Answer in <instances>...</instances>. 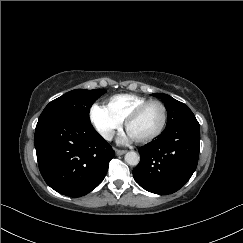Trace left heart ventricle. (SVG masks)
<instances>
[{"label":"left heart ventricle","mask_w":243,"mask_h":243,"mask_svg":"<svg viewBox=\"0 0 243 243\" xmlns=\"http://www.w3.org/2000/svg\"><path fill=\"white\" fill-rule=\"evenodd\" d=\"M162 117L163 112L160 105L151 104L137 120L130 124L128 132L134 140L144 139L159 128Z\"/></svg>","instance_id":"b2bd125f"}]
</instances>
